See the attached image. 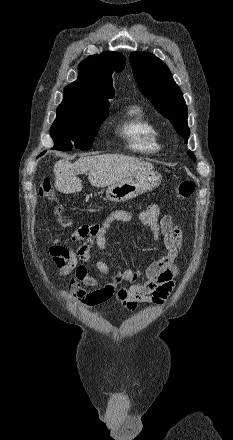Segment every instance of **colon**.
I'll list each match as a JSON object with an SVG mask.
<instances>
[{
    "instance_id": "colon-1",
    "label": "colon",
    "mask_w": 233,
    "mask_h": 440,
    "mask_svg": "<svg viewBox=\"0 0 233 440\" xmlns=\"http://www.w3.org/2000/svg\"><path fill=\"white\" fill-rule=\"evenodd\" d=\"M194 191H195V183H194V181H192V180H183V181H181L177 185L175 193L180 198H189V197L192 196ZM40 195L43 198H46V199H49V200L54 199L55 194H54V191L52 189L51 179L46 178L43 181V184H42L41 189H40ZM56 213L59 215V219H58L59 225L61 227L69 226V224H70L69 220L66 217L61 215L62 208L60 206L56 207Z\"/></svg>"
}]
</instances>
